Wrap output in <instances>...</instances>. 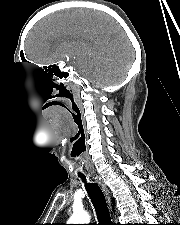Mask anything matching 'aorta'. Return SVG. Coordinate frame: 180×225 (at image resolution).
<instances>
[{"mask_svg": "<svg viewBox=\"0 0 180 225\" xmlns=\"http://www.w3.org/2000/svg\"><path fill=\"white\" fill-rule=\"evenodd\" d=\"M90 216L84 211H76L68 221V224H89Z\"/></svg>", "mask_w": 180, "mask_h": 225, "instance_id": "1", "label": "aorta"}]
</instances>
